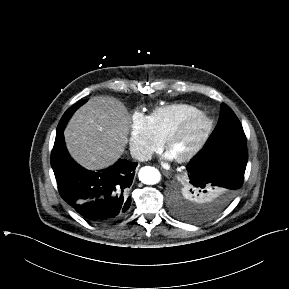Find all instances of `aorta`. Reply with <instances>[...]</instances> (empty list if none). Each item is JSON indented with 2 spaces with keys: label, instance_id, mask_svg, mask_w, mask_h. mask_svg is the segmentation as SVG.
<instances>
[{
  "label": "aorta",
  "instance_id": "1",
  "mask_svg": "<svg viewBox=\"0 0 289 289\" xmlns=\"http://www.w3.org/2000/svg\"><path fill=\"white\" fill-rule=\"evenodd\" d=\"M138 177L142 183L147 185L157 184L161 179L160 172L151 166L142 167L139 171Z\"/></svg>",
  "mask_w": 289,
  "mask_h": 289
}]
</instances>
